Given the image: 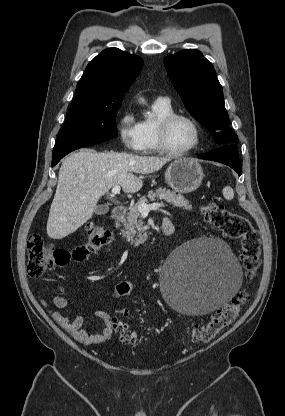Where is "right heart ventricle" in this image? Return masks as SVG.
<instances>
[{
    "label": "right heart ventricle",
    "instance_id": "obj_1",
    "mask_svg": "<svg viewBox=\"0 0 285 416\" xmlns=\"http://www.w3.org/2000/svg\"><path fill=\"white\" fill-rule=\"evenodd\" d=\"M153 117L142 118L140 120V130L143 137V150L149 153L159 152L157 142V123L158 121L173 113L169 102L157 99L153 103Z\"/></svg>",
    "mask_w": 285,
    "mask_h": 416
}]
</instances>
